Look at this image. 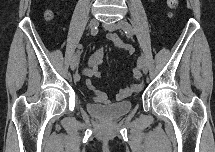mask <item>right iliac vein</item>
Returning a JSON list of instances; mask_svg holds the SVG:
<instances>
[{"instance_id":"1","label":"right iliac vein","mask_w":215,"mask_h":152,"mask_svg":"<svg viewBox=\"0 0 215 152\" xmlns=\"http://www.w3.org/2000/svg\"><path fill=\"white\" fill-rule=\"evenodd\" d=\"M99 25V22L97 19L93 18L89 21L88 27L92 30L95 29ZM79 62V55L75 54L70 62V68L72 71H74L78 65Z\"/></svg>"}]
</instances>
